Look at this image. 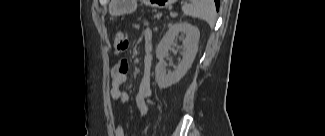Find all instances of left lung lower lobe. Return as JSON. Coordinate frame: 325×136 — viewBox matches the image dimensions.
Instances as JSON below:
<instances>
[{"mask_svg": "<svg viewBox=\"0 0 325 136\" xmlns=\"http://www.w3.org/2000/svg\"><path fill=\"white\" fill-rule=\"evenodd\" d=\"M215 1V4H216V9L218 10L219 9V2L220 0H214Z\"/></svg>", "mask_w": 325, "mask_h": 136, "instance_id": "left-lung-lower-lobe-1", "label": "left lung lower lobe"}]
</instances>
